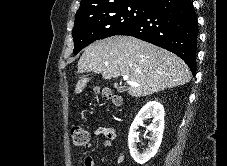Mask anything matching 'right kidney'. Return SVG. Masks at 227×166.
Wrapping results in <instances>:
<instances>
[{
    "label": "right kidney",
    "mask_w": 227,
    "mask_h": 166,
    "mask_svg": "<svg viewBox=\"0 0 227 166\" xmlns=\"http://www.w3.org/2000/svg\"><path fill=\"white\" fill-rule=\"evenodd\" d=\"M164 116V107L157 101L148 102L137 114L130 127L128 137L130 154L135 162L144 164L157 153L163 137ZM148 118H153L152 123L147 127V129L151 131V141L148 143V148L143 153H140L137 147L138 128L142 126L144 120Z\"/></svg>",
    "instance_id": "ca27d5eb"
}]
</instances>
